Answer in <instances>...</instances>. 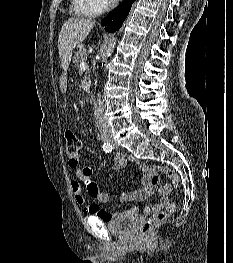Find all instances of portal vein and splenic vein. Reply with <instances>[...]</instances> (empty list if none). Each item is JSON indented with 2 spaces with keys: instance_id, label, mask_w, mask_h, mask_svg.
I'll return each instance as SVG.
<instances>
[{
  "instance_id": "obj_1",
  "label": "portal vein and splenic vein",
  "mask_w": 233,
  "mask_h": 263,
  "mask_svg": "<svg viewBox=\"0 0 233 263\" xmlns=\"http://www.w3.org/2000/svg\"><path fill=\"white\" fill-rule=\"evenodd\" d=\"M80 68H81V69L87 68V64H86L85 61H82V62L80 63Z\"/></svg>"
}]
</instances>
